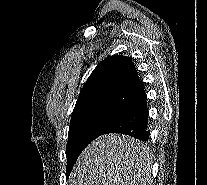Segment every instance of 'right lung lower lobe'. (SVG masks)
<instances>
[{
    "mask_svg": "<svg viewBox=\"0 0 207 185\" xmlns=\"http://www.w3.org/2000/svg\"><path fill=\"white\" fill-rule=\"evenodd\" d=\"M147 123V95L144 93L128 108H126L103 134L121 133L132 136L141 141H147L149 138Z\"/></svg>",
    "mask_w": 207,
    "mask_h": 185,
    "instance_id": "1",
    "label": "right lung lower lobe"
}]
</instances>
